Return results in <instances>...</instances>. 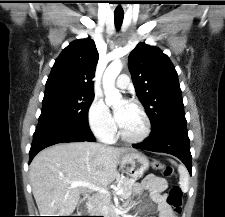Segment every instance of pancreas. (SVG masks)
I'll return each instance as SVG.
<instances>
[{
  "mask_svg": "<svg viewBox=\"0 0 225 217\" xmlns=\"http://www.w3.org/2000/svg\"><path fill=\"white\" fill-rule=\"evenodd\" d=\"M117 187L123 190V193L120 195L121 198L127 199L132 194V189L135 184V179L117 177L116 179ZM98 207L106 215L110 217V214L113 212L111 200L107 195H99L98 202H95L93 208Z\"/></svg>",
  "mask_w": 225,
  "mask_h": 217,
  "instance_id": "obj_1",
  "label": "pancreas"
}]
</instances>
